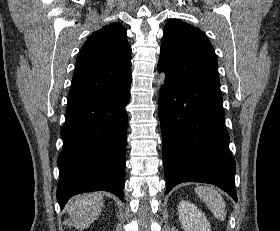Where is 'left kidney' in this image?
<instances>
[{
	"label": "left kidney",
	"instance_id": "left-kidney-1",
	"mask_svg": "<svg viewBox=\"0 0 280 231\" xmlns=\"http://www.w3.org/2000/svg\"><path fill=\"white\" fill-rule=\"evenodd\" d=\"M178 213L184 231H211L210 221L191 201L181 199Z\"/></svg>",
	"mask_w": 280,
	"mask_h": 231
}]
</instances>
